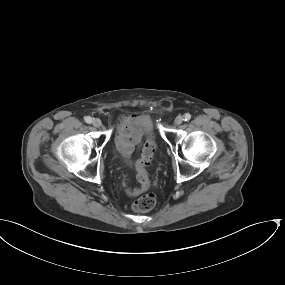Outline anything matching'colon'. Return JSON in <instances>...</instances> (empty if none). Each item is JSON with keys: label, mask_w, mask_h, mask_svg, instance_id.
Here are the masks:
<instances>
[{"label": "colon", "mask_w": 285, "mask_h": 285, "mask_svg": "<svg viewBox=\"0 0 285 285\" xmlns=\"http://www.w3.org/2000/svg\"><path fill=\"white\" fill-rule=\"evenodd\" d=\"M156 150V144L154 139L149 136L145 142L142 150L141 159L137 163V179L142 189H146L149 186V173L146 167L150 164L153 155ZM156 204V197L152 193L145 194L136 200L132 208L137 212H146L154 208Z\"/></svg>", "instance_id": "1"}]
</instances>
